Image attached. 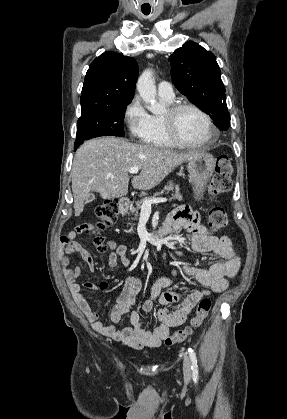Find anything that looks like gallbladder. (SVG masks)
<instances>
[{"instance_id":"1","label":"gallbladder","mask_w":287,"mask_h":419,"mask_svg":"<svg viewBox=\"0 0 287 419\" xmlns=\"http://www.w3.org/2000/svg\"><path fill=\"white\" fill-rule=\"evenodd\" d=\"M94 199H95V195L94 194H89V196L87 197V199L85 201V204L91 203Z\"/></svg>"}]
</instances>
